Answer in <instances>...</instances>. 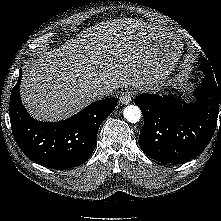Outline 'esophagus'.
Listing matches in <instances>:
<instances>
[{"label":"esophagus","instance_id":"34e87169","mask_svg":"<svg viewBox=\"0 0 221 221\" xmlns=\"http://www.w3.org/2000/svg\"><path fill=\"white\" fill-rule=\"evenodd\" d=\"M132 93L130 91H124L122 92V94L120 95L119 99L120 102L124 105L129 104L132 101Z\"/></svg>","mask_w":221,"mask_h":221}]
</instances>
